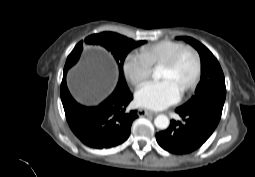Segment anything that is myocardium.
Returning <instances> with one entry per match:
<instances>
[{
	"mask_svg": "<svg viewBox=\"0 0 255 177\" xmlns=\"http://www.w3.org/2000/svg\"><path fill=\"white\" fill-rule=\"evenodd\" d=\"M186 52H190L194 55L195 60H196V70H195L194 77H193L192 81L190 82V84L185 89H183L181 91L182 94H186V93L192 91L197 86V84L200 80L201 73H202V59H201L199 52L194 47L185 45L182 48H180L168 61L164 62L161 65L162 67H165L168 69L176 68L180 59Z\"/></svg>",
	"mask_w": 255,
	"mask_h": 177,
	"instance_id": "myocardium-1",
	"label": "myocardium"
}]
</instances>
